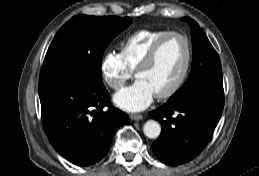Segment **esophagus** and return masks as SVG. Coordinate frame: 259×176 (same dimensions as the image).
Here are the masks:
<instances>
[{
  "mask_svg": "<svg viewBox=\"0 0 259 176\" xmlns=\"http://www.w3.org/2000/svg\"><path fill=\"white\" fill-rule=\"evenodd\" d=\"M130 119L133 121H140L143 119V116L141 114H131Z\"/></svg>",
  "mask_w": 259,
  "mask_h": 176,
  "instance_id": "34e87169",
  "label": "esophagus"
}]
</instances>
